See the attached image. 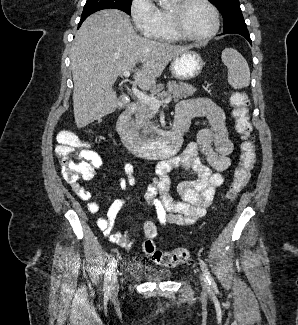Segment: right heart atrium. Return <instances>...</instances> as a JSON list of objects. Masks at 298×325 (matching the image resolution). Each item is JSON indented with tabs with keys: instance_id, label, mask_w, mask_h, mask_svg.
<instances>
[{
	"instance_id": "right-heart-atrium-1",
	"label": "right heart atrium",
	"mask_w": 298,
	"mask_h": 325,
	"mask_svg": "<svg viewBox=\"0 0 298 325\" xmlns=\"http://www.w3.org/2000/svg\"><path fill=\"white\" fill-rule=\"evenodd\" d=\"M130 15L136 30H140V37H146L147 41H162L164 31L159 25L156 7L150 0H134Z\"/></svg>"
}]
</instances>
